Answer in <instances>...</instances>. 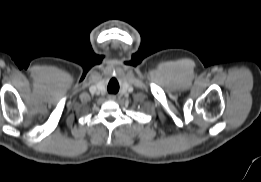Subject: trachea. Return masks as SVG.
Returning <instances> with one entry per match:
<instances>
[{
	"label": "trachea",
	"instance_id": "3493384b",
	"mask_svg": "<svg viewBox=\"0 0 261 182\" xmlns=\"http://www.w3.org/2000/svg\"><path fill=\"white\" fill-rule=\"evenodd\" d=\"M107 89L109 93H117L119 86L116 83H109Z\"/></svg>",
	"mask_w": 261,
	"mask_h": 182
}]
</instances>
